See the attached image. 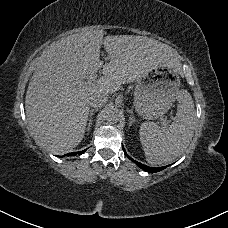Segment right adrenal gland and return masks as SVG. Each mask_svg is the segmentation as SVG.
Here are the masks:
<instances>
[{"instance_id":"obj_1","label":"right adrenal gland","mask_w":228,"mask_h":228,"mask_svg":"<svg viewBox=\"0 0 228 228\" xmlns=\"http://www.w3.org/2000/svg\"><path fill=\"white\" fill-rule=\"evenodd\" d=\"M93 113H94V110H92L91 113L89 114V121H88V125H87V130L91 129Z\"/></svg>"}]
</instances>
